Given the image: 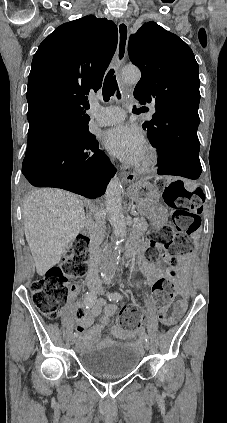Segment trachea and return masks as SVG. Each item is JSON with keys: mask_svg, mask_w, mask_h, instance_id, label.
<instances>
[{"mask_svg": "<svg viewBox=\"0 0 227 423\" xmlns=\"http://www.w3.org/2000/svg\"><path fill=\"white\" fill-rule=\"evenodd\" d=\"M103 99L104 101L108 102L109 98L112 97L115 93L117 95V98H121V93L118 88V84L116 81V77L114 75V70H110L104 80L103 84ZM140 110L137 109L135 106L133 107V111Z\"/></svg>", "mask_w": 227, "mask_h": 423, "instance_id": "trachea-1", "label": "trachea"}]
</instances>
